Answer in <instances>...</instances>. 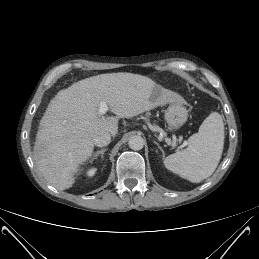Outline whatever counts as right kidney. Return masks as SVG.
<instances>
[{
  "instance_id": "ca27d5eb",
  "label": "right kidney",
  "mask_w": 259,
  "mask_h": 259,
  "mask_svg": "<svg viewBox=\"0 0 259 259\" xmlns=\"http://www.w3.org/2000/svg\"><path fill=\"white\" fill-rule=\"evenodd\" d=\"M95 173H96V168H90L87 170L86 175L88 177H93L95 175Z\"/></svg>"
}]
</instances>
